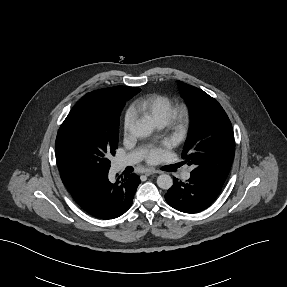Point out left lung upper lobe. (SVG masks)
Wrapping results in <instances>:
<instances>
[{
	"mask_svg": "<svg viewBox=\"0 0 287 287\" xmlns=\"http://www.w3.org/2000/svg\"><path fill=\"white\" fill-rule=\"evenodd\" d=\"M192 113L188 138L182 152L191 173L223 185L234 157V132L221 105L204 91L179 82Z\"/></svg>",
	"mask_w": 287,
	"mask_h": 287,
	"instance_id": "1",
	"label": "left lung upper lobe"
}]
</instances>
